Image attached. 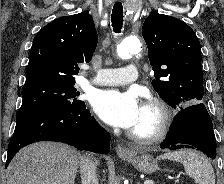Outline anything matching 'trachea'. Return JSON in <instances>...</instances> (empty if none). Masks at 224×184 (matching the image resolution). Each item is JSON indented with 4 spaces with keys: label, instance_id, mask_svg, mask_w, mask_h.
I'll use <instances>...</instances> for the list:
<instances>
[{
    "label": "trachea",
    "instance_id": "1",
    "mask_svg": "<svg viewBox=\"0 0 224 184\" xmlns=\"http://www.w3.org/2000/svg\"><path fill=\"white\" fill-rule=\"evenodd\" d=\"M112 27L115 33H120L123 26V6L121 2L114 4L111 15Z\"/></svg>",
    "mask_w": 224,
    "mask_h": 184
}]
</instances>
